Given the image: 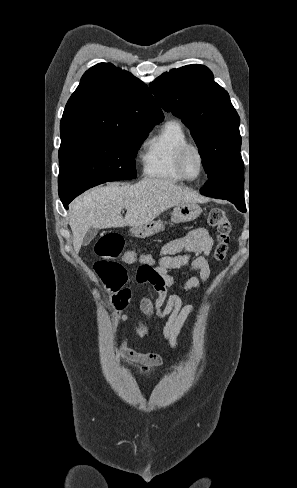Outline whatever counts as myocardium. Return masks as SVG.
<instances>
[{
    "mask_svg": "<svg viewBox=\"0 0 297 488\" xmlns=\"http://www.w3.org/2000/svg\"><path fill=\"white\" fill-rule=\"evenodd\" d=\"M190 151L195 152L198 155L199 161H200L199 173L194 177L189 176L188 173L186 172V169H185V159H186L187 154ZM176 168L184 180L194 181V180H197L199 177H201L205 171V157H204L201 149L192 143H188V144L182 146L181 149L179 150L178 154H177V157H176Z\"/></svg>",
    "mask_w": 297,
    "mask_h": 488,
    "instance_id": "1",
    "label": "myocardium"
}]
</instances>
